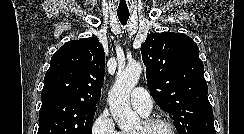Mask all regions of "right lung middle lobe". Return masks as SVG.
<instances>
[{"label":"right lung middle lobe","instance_id":"dd1d6c3e","mask_svg":"<svg viewBox=\"0 0 244 134\" xmlns=\"http://www.w3.org/2000/svg\"><path fill=\"white\" fill-rule=\"evenodd\" d=\"M96 107L50 100L42 103L37 134H92Z\"/></svg>","mask_w":244,"mask_h":134}]
</instances>
